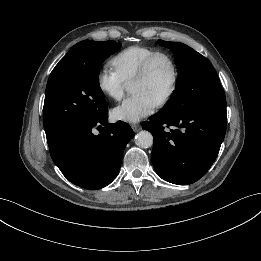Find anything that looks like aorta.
<instances>
[{"mask_svg": "<svg viewBox=\"0 0 261 261\" xmlns=\"http://www.w3.org/2000/svg\"><path fill=\"white\" fill-rule=\"evenodd\" d=\"M135 143L138 147L149 148L153 145V136L150 132L142 130L135 136Z\"/></svg>", "mask_w": 261, "mask_h": 261, "instance_id": "aorta-1", "label": "aorta"}]
</instances>
